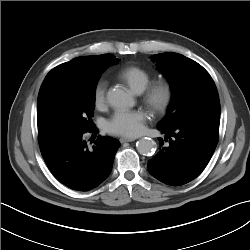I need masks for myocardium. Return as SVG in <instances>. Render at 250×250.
Wrapping results in <instances>:
<instances>
[{"label": "myocardium", "instance_id": "myocardium-1", "mask_svg": "<svg viewBox=\"0 0 250 250\" xmlns=\"http://www.w3.org/2000/svg\"><path fill=\"white\" fill-rule=\"evenodd\" d=\"M173 99L174 89L167 81L154 82L143 93L144 102L158 114L166 112L171 106Z\"/></svg>", "mask_w": 250, "mask_h": 250}]
</instances>
